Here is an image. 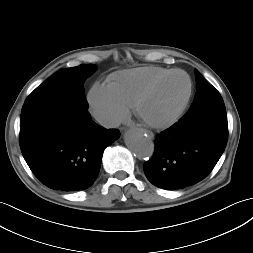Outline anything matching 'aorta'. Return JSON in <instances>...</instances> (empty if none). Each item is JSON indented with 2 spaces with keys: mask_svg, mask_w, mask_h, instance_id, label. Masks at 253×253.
Instances as JSON below:
<instances>
[{
  "mask_svg": "<svg viewBox=\"0 0 253 253\" xmlns=\"http://www.w3.org/2000/svg\"><path fill=\"white\" fill-rule=\"evenodd\" d=\"M125 143L138 158H150L154 153L152 139L139 130H129L125 136Z\"/></svg>",
  "mask_w": 253,
  "mask_h": 253,
  "instance_id": "obj_1",
  "label": "aorta"
}]
</instances>
